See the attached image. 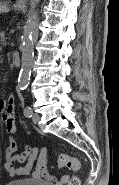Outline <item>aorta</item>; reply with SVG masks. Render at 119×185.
I'll use <instances>...</instances> for the list:
<instances>
[{"instance_id": "obj_1", "label": "aorta", "mask_w": 119, "mask_h": 185, "mask_svg": "<svg viewBox=\"0 0 119 185\" xmlns=\"http://www.w3.org/2000/svg\"><path fill=\"white\" fill-rule=\"evenodd\" d=\"M40 0H30L31 10L28 13L26 24L23 29L21 37V53H22V66L18 78V85L20 89H24L30 79L31 69L33 66V41L32 30L34 27L35 8Z\"/></svg>"}]
</instances>
